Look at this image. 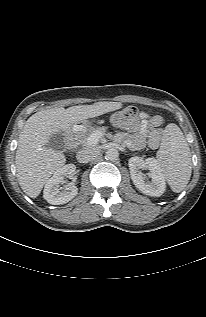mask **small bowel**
Here are the masks:
<instances>
[{
  "instance_id": "obj_1",
  "label": "small bowel",
  "mask_w": 206,
  "mask_h": 317,
  "mask_svg": "<svg viewBox=\"0 0 206 317\" xmlns=\"http://www.w3.org/2000/svg\"><path fill=\"white\" fill-rule=\"evenodd\" d=\"M164 120L161 116H149L142 112L140 122L131 135H120L133 148H142L146 142L151 148H157L160 143Z\"/></svg>"
}]
</instances>
